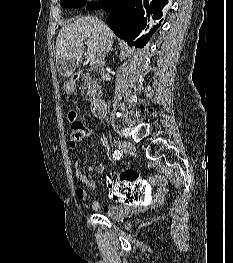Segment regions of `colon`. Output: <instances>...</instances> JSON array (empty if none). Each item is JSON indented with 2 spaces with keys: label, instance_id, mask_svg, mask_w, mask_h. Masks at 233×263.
Here are the masks:
<instances>
[{
  "label": "colon",
  "instance_id": "1",
  "mask_svg": "<svg viewBox=\"0 0 233 263\" xmlns=\"http://www.w3.org/2000/svg\"><path fill=\"white\" fill-rule=\"evenodd\" d=\"M70 125L68 127V135L70 138V146L76 147L85 136L87 129L85 125L76 119L74 113L69 115ZM117 174L108 175V186L111 194L109 198L112 202H127L128 205H144L145 202H152L151 184L146 181L144 171L137 169H117ZM119 174V175H118Z\"/></svg>",
  "mask_w": 233,
  "mask_h": 263
}]
</instances>
